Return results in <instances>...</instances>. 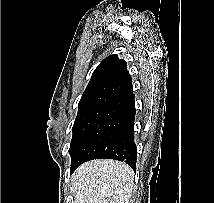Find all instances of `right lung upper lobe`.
<instances>
[{
    "instance_id": "right-lung-upper-lobe-1",
    "label": "right lung upper lobe",
    "mask_w": 214,
    "mask_h": 203,
    "mask_svg": "<svg viewBox=\"0 0 214 203\" xmlns=\"http://www.w3.org/2000/svg\"><path fill=\"white\" fill-rule=\"evenodd\" d=\"M131 91H133L132 78L127 71V63L114 54L97 66L81 99L90 97L116 99Z\"/></svg>"
}]
</instances>
